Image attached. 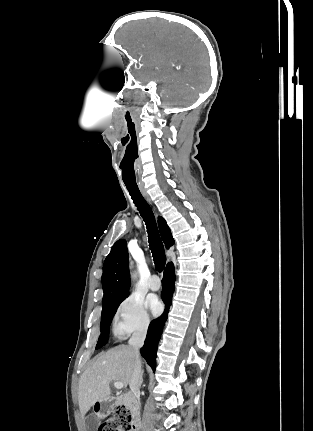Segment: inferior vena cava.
I'll return each instance as SVG.
<instances>
[{"label": "inferior vena cava", "mask_w": 313, "mask_h": 431, "mask_svg": "<svg viewBox=\"0 0 313 431\" xmlns=\"http://www.w3.org/2000/svg\"><path fill=\"white\" fill-rule=\"evenodd\" d=\"M147 328H141L137 331H135L132 335V337L129 340V346L132 349L135 364H134V370L133 374L129 383L131 393L129 395L130 398V406H133L135 408L140 407V401H139V389H140V377H141V360L139 357V350L143 346L145 338H146Z\"/></svg>", "instance_id": "602c4592"}]
</instances>
